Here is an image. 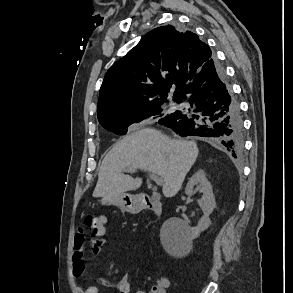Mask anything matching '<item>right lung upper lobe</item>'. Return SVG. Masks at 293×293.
Segmentation results:
<instances>
[{
    "label": "right lung upper lobe",
    "mask_w": 293,
    "mask_h": 293,
    "mask_svg": "<svg viewBox=\"0 0 293 293\" xmlns=\"http://www.w3.org/2000/svg\"><path fill=\"white\" fill-rule=\"evenodd\" d=\"M213 59L197 34L172 25L155 28L113 64L100 88L97 116L146 109L179 93Z\"/></svg>",
    "instance_id": "cb5924a9"
}]
</instances>
